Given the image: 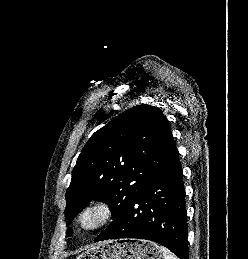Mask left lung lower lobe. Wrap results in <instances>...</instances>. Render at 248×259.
Wrapping results in <instances>:
<instances>
[{"label":"left lung lower lobe","instance_id":"left-lung-lower-lobe-1","mask_svg":"<svg viewBox=\"0 0 248 259\" xmlns=\"http://www.w3.org/2000/svg\"><path fill=\"white\" fill-rule=\"evenodd\" d=\"M187 214L179 153L94 242L139 238L157 242L188 259Z\"/></svg>","mask_w":248,"mask_h":259}]
</instances>
